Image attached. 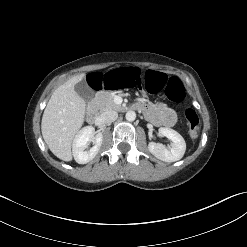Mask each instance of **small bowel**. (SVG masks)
Masks as SVG:
<instances>
[{
    "label": "small bowel",
    "instance_id": "small-bowel-1",
    "mask_svg": "<svg viewBox=\"0 0 247 247\" xmlns=\"http://www.w3.org/2000/svg\"><path fill=\"white\" fill-rule=\"evenodd\" d=\"M138 107L145 112L147 117L155 125L171 127L176 122L177 117L175 111L164 103L157 105L140 103Z\"/></svg>",
    "mask_w": 247,
    "mask_h": 247
}]
</instances>
